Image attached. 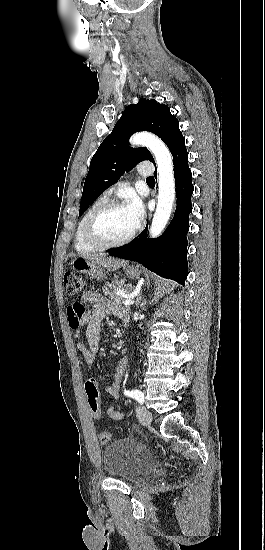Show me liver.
Returning a JSON list of instances; mask_svg holds the SVG:
<instances>
[{
    "label": "liver",
    "instance_id": "1",
    "mask_svg": "<svg viewBox=\"0 0 265 550\" xmlns=\"http://www.w3.org/2000/svg\"><path fill=\"white\" fill-rule=\"evenodd\" d=\"M84 258L94 260L100 266L105 267L108 270H112V271H115L120 267H123L126 265L125 261L109 258L105 254L87 255V256H84Z\"/></svg>",
    "mask_w": 265,
    "mask_h": 550
}]
</instances>
